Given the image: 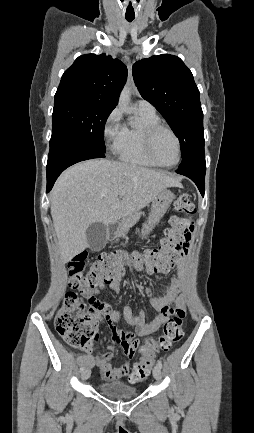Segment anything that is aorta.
Wrapping results in <instances>:
<instances>
[{
  "label": "aorta",
  "instance_id": "762f6f07",
  "mask_svg": "<svg viewBox=\"0 0 254 433\" xmlns=\"http://www.w3.org/2000/svg\"><path fill=\"white\" fill-rule=\"evenodd\" d=\"M130 100H131L130 89L128 87H124V89L122 90V92L120 94L118 104L125 112L131 111V109L129 108Z\"/></svg>",
  "mask_w": 254,
  "mask_h": 433
}]
</instances>
